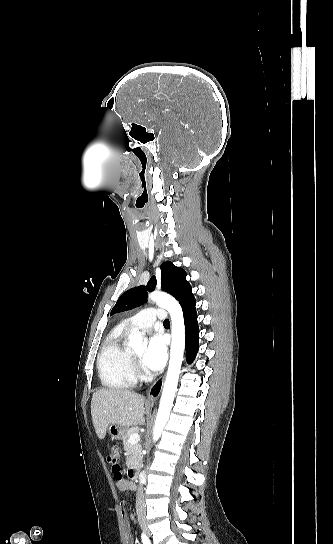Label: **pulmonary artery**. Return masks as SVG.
Returning <instances> with one entry per match:
<instances>
[{
    "label": "pulmonary artery",
    "mask_w": 333,
    "mask_h": 544,
    "mask_svg": "<svg viewBox=\"0 0 333 544\" xmlns=\"http://www.w3.org/2000/svg\"><path fill=\"white\" fill-rule=\"evenodd\" d=\"M167 313L161 308H146L134 316L124 320L123 324L127 328L148 329L151 328L157 320L166 319Z\"/></svg>",
    "instance_id": "e3ab8cb5"
}]
</instances>
